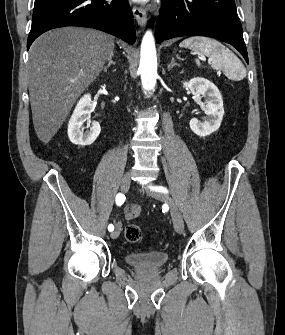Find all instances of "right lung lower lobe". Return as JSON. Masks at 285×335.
Instances as JSON below:
<instances>
[{
  "label": "right lung lower lobe",
  "mask_w": 285,
  "mask_h": 335,
  "mask_svg": "<svg viewBox=\"0 0 285 335\" xmlns=\"http://www.w3.org/2000/svg\"><path fill=\"white\" fill-rule=\"evenodd\" d=\"M65 26L99 29L130 44L136 40L127 0H35L27 49L42 33Z\"/></svg>",
  "instance_id": "right-lung-lower-lobe-1"
}]
</instances>
